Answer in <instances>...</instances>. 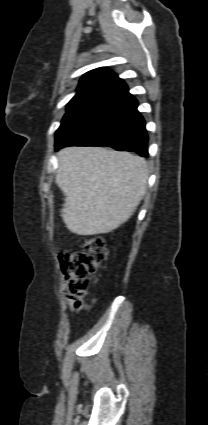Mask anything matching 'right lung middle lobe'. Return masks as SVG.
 <instances>
[{
  "label": "right lung middle lobe",
  "instance_id": "1",
  "mask_svg": "<svg viewBox=\"0 0 208 425\" xmlns=\"http://www.w3.org/2000/svg\"><path fill=\"white\" fill-rule=\"evenodd\" d=\"M97 95L98 93H93V92L76 94L67 104V113L65 114L62 120V124L67 122L76 110L81 108L90 100L96 98Z\"/></svg>",
  "mask_w": 208,
  "mask_h": 425
}]
</instances>
